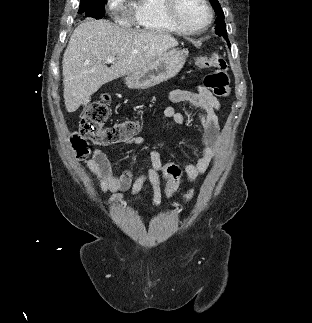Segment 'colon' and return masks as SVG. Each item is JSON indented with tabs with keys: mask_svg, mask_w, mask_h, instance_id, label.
<instances>
[{
	"mask_svg": "<svg viewBox=\"0 0 312 323\" xmlns=\"http://www.w3.org/2000/svg\"><path fill=\"white\" fill-rule=\"evenodd\" d=\"M196 67L209 68L212 71L204 78V86L217 97L230 95V83L226 61L218 54L199 56L195 59ZM111 96L104 94L101 98L91 103L79 119L77 138L80 141H72L73 158H88V143L97 147L112 146L118 142L138 136V122L134 120L118 121L113 125L107 122L110 116L109 104ZM164 165V175L167 181V193L172 195L180 182V167L176 166L175 160H169ZM194 194V191H191ZM193 198V195H189Z\"/></svg>",
	"mask_w": 312,
	"mask_h": 323,
	"instance_id": "1",
	"label": "colon"
}]
</instances>
